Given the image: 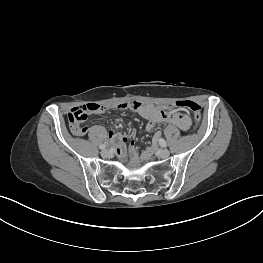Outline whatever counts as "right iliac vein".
<instances>
[{
  "label": "right iliac vein",
  "instance_id": "63e3f726",
  "mask_svg": "<svg viewBox=\"0 0 263 263\" xmlns=\"http://www.w3.org/2000/svg\"><path fill=\"white\" fill-rule=\"evenodd\" d=\"M101 155L106 158V157H108L110 155V152H109V150H103L101 152Z\"/></svg>",
  "mask_w": 263,
  "mask_h": 263
}]
</instances>
